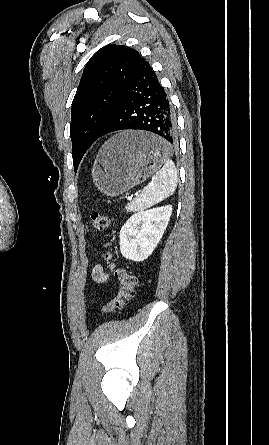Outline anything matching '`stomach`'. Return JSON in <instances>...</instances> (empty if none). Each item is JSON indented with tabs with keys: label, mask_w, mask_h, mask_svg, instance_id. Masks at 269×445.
<instances>
[{
	"label": "stomach",
	"mask_w": 269,
	"mask_h": 445,
	"mask_svg": "<svg viewBox=\"0 0 269 445\" xmlns=\"http://www.w3.org/2000/svg\"><path fill=\"white\" fill-rule=\"evenodd\" d=\"M167 143L142 131L111 137L100 149L93 182L107 196H118L155 173L167 157Z\"/></svg>",
	"instance_id": "obj_1"
}]
</instances>
